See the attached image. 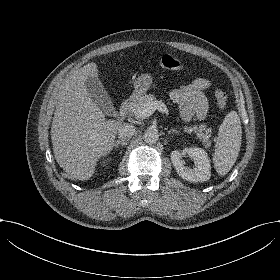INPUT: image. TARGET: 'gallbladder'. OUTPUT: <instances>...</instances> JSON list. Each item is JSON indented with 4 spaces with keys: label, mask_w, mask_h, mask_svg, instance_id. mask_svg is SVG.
Listing matches in <instances>:
<instances>
[{
    "label": "gallbladder",
    "mask_w": 280,
    "mask_h": 280,
    "mask_svg": "<svg viewBox=\"0 0 280 280\" xmlns=\"http://www.w3.org/2000/svg\"><path fill=\"white\" fill-rule=\"evenodd\" d=\"M86 85L89 98L95 102L107 116L117 117L118 112L101 81L98 78L88 77Z\"/></svg>",
    "instance_id": "gallbladder-1"
}]
</instances>
